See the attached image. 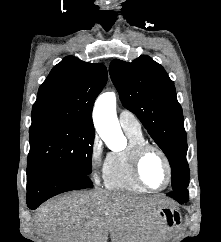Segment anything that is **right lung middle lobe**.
Returning <instances> with one entry per match:
<instances>
[{
	"label": "right lung middle lobe",
	"instance_id": "right-lung-middle-lobe-1",
	"mask_svg": "<svg viewBox=\"0 0 221 242\" xmlns=\"http://www.w3.org/2000/svg\"><path fill=\"white\" fill-rule=\"evenodd\" d=\"M94 136V129L72 123L31 126L27 170L52 167L89 175Z\"/></svg>",
	"mask_w": 221,
	"mask_h": 242
}]
</instances>
